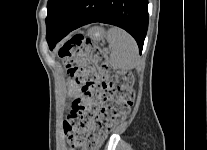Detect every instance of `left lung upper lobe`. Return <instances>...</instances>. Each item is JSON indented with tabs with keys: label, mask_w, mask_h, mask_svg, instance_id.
I'll return each instance as SVG.
<instances>
[{
	"label": "left lung upper lobe",
	"mask_w": 207,
	"mask_h": 150,
	"mask_svg": "<svg viewBox=\"0 0 207 150\" xmlns=\"http://www.w3.org/2000/svg\"><path fill=\"white\" fill-rule=\"evenodd\" d=\"M69 1L70 0H48V13L46 17L47 31L54 26Z\"/></svg>",
	"instance_id": "1"
}]
</instances>
